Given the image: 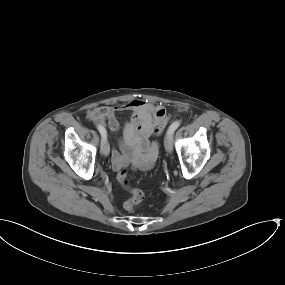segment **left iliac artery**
Returning <instances> with one entry per match:
<instances>
[{
    "instance_id": "obj_1",
    "label": "left iliac artery",
    "mask_w": 285,
    "mask_h": 285,
    "mask_svg": "<svg viewBox=\"0 0 285 285\" xmlns=\"http://www.w3.org/2000/svg\"><path fill=\"white\" fill-rule=\"evenodd\" d=\"M180 124V121L173 122L168 129V133H174V131L180 126Z\"/></svg>"
}]
</instances>
